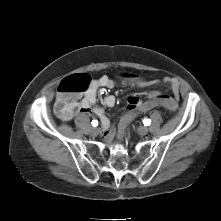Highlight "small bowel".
<instances>
[{"label": "small bowel", "instance_id": "1", "mask_svg": "<svg viewBox=\"0 0 221 221\" xmlns=\"http://www.w3.org/2000/svg\"><path fill=\"white\" fill-rule=\"evenodd\" d=\"M164 83L168 84L172 92L173 100L177 101L179 96V83L174 78H165ZM115 82L106 75H102L91 82L89 89L86 91L84 96L77 100L75 99L71 105V116L75 113H85L97 117L101 123L102 131L106 139H110L115 132V127L111 125L110 120L106 116L104 110L101 107L95 106L96 103V92L99 88H113ZM162 94L165 96L163 91H158L157 93L152 94L151 91L146 90L144 92L138 91L135 95H131L128 98V104L126 111L122 114L125 115L131 111L136 105L141 104L146 101H151L154 99V96ZM104 105L106 107H113L115 105V97L108 95L104 98Z\"/></svg>", "mask_w": 221, "mask_h": 221}]
</instances>
